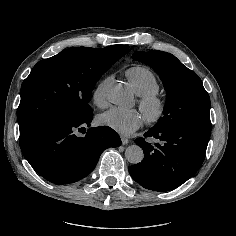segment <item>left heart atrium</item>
I'll return each instance as SVG.
<instances>
[{
    "label": "left heart atrium",
    "mask_w": 236,
    "mask_h": 236,
    "mask_svg": "<svg viewBox=\"0 0 236 236\" xmlns=\"http://www.w3.org/2000/svg\"><path fill=\"white\" fill-rule=\"evenodd\" d=\"M99 123L121 135L128 136L143 126L145 118L135 109L113 107L99 116Z\"/></svg>",
    "instance_id": "1"
}]
</instances>
